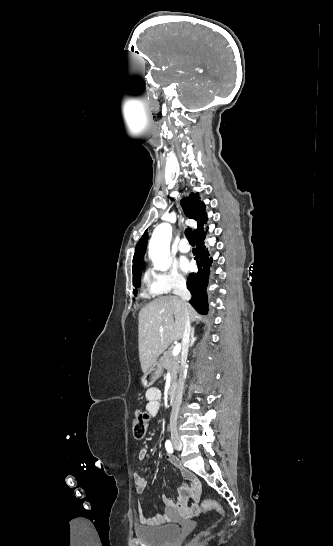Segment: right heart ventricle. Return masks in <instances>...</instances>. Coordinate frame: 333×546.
<instances>
[{
  "mask_svg": "<svg viewBox=\"0 0 333 546\" xmlns=\"http://www.w3.org/2000/svg\"><path fill=\"white\" fill-rule=\"evenodd\" d=\"M144 283L146 284V289L143 292V296L148 297L149 294H152L150 292V289H149V276H148V274H145V276H144Z\"/></svg>",
  "mask_w": 333,
  "mask_h": 546,
  "instance_id": "right-heart-ventricle-1",
  "label": "right heart ventricle"
}]
</instances>
